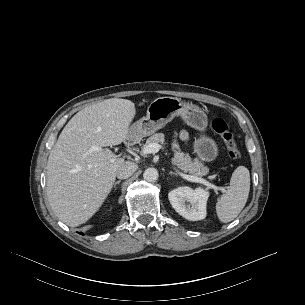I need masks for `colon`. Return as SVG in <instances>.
Returning <instances> with one entry per match:
<instances>
[{"mask_svg":"<svg viewBox=\"0 0 305 305\" xmlns=\"http://www.w3.org/2000/svg\"><path fill=\"white\" fill-rule=\"evenodd\" d=\"M212 128L223 140L229 156L233 159L239 158L240 153L238 151L234 136L226 121L222 118H216L212 122Z\"/></svg>","mask_w":305,"mask_h":305,"instance_id":"5ec220e1","label":"colon"}]
</instances>
